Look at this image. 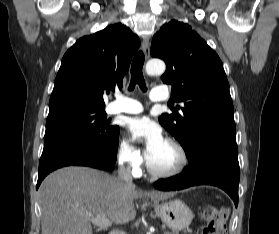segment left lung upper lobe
<instances>
[{"mask_svg":"<svg viewBox=\"0 0 279 234\" xmlns=\"http://www.w3.org/2000/svg\"><path fill=\"white\" fill-rule=\"evenodd\" d=\"M151 56L166 63L161 79L172 85L180 112L162 114L160 124L182 145L187 157L197 140L215 130L236 131L234 107L223 64L188 24L172 20L152 40Z\"/></svg>","mask_w":279,"mask_h":234,"instance_id":"obj_1","label":"left lung upper lobe"}]
</instances>
